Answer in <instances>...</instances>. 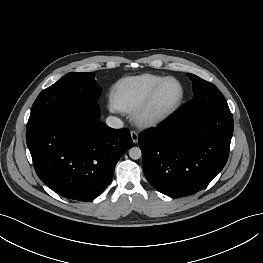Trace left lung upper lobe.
Segmentation results:
<instances>
[{"mask_svg":"<svg viewBox=\"0 0 263 263\" xmlns=\"http://www.w3.org/2000/svg\"><path fill=\"white\" fill-rule=\"evenodd\" d=\"M193 81L194 97L178 111L184 120L216 113L230 112L228 104L217 87L194 74H187Z\"/></svg>","mask_w":263,"mask_h":263,"instance_id":"1","label":"left lung upper lobe"}]
</instances>
